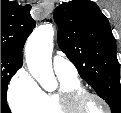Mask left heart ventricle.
Instances as JSON below:
<instances>
[{
    "label": "left heart ventricle",
    "mask_w": 121,
    "mask_h": 113,
    "mask_svg": "<svg viewBox=\"0 0 121 113\" xmlns=\"http://www.w3.org/2000/svg\"><path fill=\"white\" fill-rule=\"evenodd\" d=\"M82 109L89 111V113H104L105 112V108L101 105L99 101L95 99H87Z\"/></svg>",
    "instance_id": "left-heart-ventricle-1"
}]
</instances>
